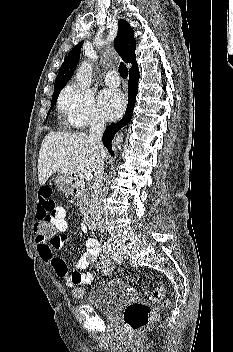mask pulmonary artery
Instances as JSON below:
<instances>
[{
    "instance_id": "e3ab8cb5",
    "label": "pulmonary artery",
    "mask_w": 233,
    "mask_h": 352,
    "mask_svg": "<svg viewBox=\"0 0 233 352\" xmlns=\"http://www.w3.org/2000/svg\"><path fill=\"white\" fill-rule=\"evenodd\" d=\"M105 82H106L107 85L112 86V87L118 86L120 84V79L118 77L117 72L109 71L105 75Z\"/></svg>"
}]
</instances>
